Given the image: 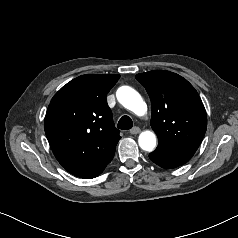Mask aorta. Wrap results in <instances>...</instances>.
I'll use <instances>...</instances> for the list:
<instances>
[{"mask_svg":"<svg viewBox=\"0 0 238 238\" xmlns=\"http://www.w3.org/2000/svg\"><path fill=\"white\" fill-rule=\"evenodd\" d=\"M117 100L128 110L138 116H143L147 111V105L141 95L129 86H122L116 92ZM156 135L146 130L140 133L138 144L144 151L151 152L156 147Z\"/></svg>","mask_w":238,"mask_h":238,"instance_id":"aorta-1","label":"aorta"}]
</instances>
